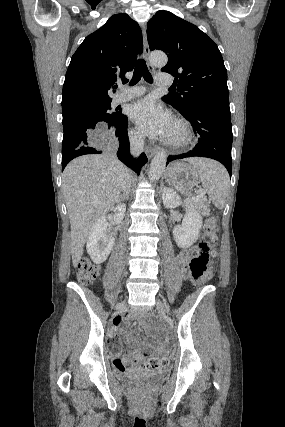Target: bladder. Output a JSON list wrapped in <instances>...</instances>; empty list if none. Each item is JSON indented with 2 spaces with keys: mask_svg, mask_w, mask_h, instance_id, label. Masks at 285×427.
<instances>
[{
  "mask_svg": "<svg viewBox=\"0 0 285 427\" xmlns=\"http://www.w3.org/2000/svg\"><path fill=\"white\" fill-rule=\"evenodd\" d=\"M122 374L125 380L129 382L135 381L138 378H146V379H151L155 381H164L167 377L165 372H162V371L147 372V371H144L142 368L135 367V366H130L127 370L122 371Z\"/></svg>",
  "mask_w": 285,
  "mask_h": 427,
  "instance_id": "31cf9c89",
  "label": "bladder"
}]
</instances>
